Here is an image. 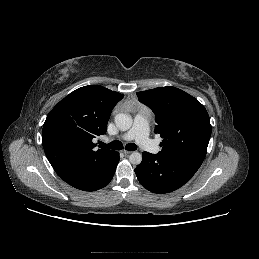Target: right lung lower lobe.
<instances>
[{
  "label": "right lung lower lobe",
  "instance_id": "1",
  "mask_svg": "<svg viewBox=\"0 0 259 259\" xmlns=\"http://www.w3.org/2000/svg\"><path fill=\"white\" fill-rule=\"evenodd\" d=\"M118 162L119 153L115 151L110 160L100 165L89 167L75 177L65 180V182L83 191H96L109 184L114 176Z\"/></svg>",
  "mask_w": 259,
  "mask_h": 259
}]
</instances>
